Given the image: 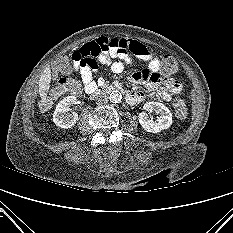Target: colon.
<instances>
[{
  "label": "colon",
  "instance_id": "colon-1",
  "mask_svg": "<svg viewBox=\"0 0 233 233\" xmlns=\"http://www.w3.org/2000/svg\"><path fill=\"white\" fill-rule=\"evenodd\" d=\"M68 60L66 57L60 58L57 63V69L61 72L67 69ZM160 70L163 75H173L178 71V63L171 55H160ZM80 84L77 80L71 78H60L55 89L51 92L49 99L52 100L65 93L78 94ZM173 108L175 115L179 119H185L188 115L187 106L183 99L177 97L173 100Z\"/></svg>",
  "mask_w": 233,
  "mask_h": 233
}]
</instances>
